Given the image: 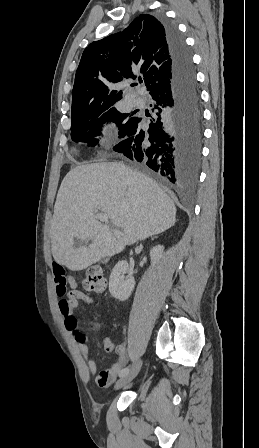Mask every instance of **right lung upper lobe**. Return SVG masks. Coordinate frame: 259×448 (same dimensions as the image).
Masks as SVG:
<instances>
[{
    "label": "right lung upper lobe",
    "instance_id": "right-lung-upper-lobe-1",
    "mask_svg": "<svg viewBox=\"0 0 259 448\" xmlns=\"http://www.w3.org/2000/svg\"><path fill=\"white\" fill-rule=\"evenodd\" d=\"M162 23L141 14L122 32L92 42L83 52L75 75L71 114L114 105L122 98L116 86L123 79H136L140 69L149 94L170 88L172 61Z\"/></svg>",
    "mask_w": 259,
    "mask_h": 448
}]
</instances>
